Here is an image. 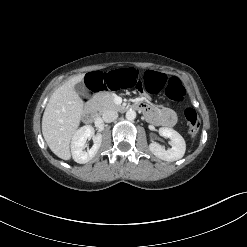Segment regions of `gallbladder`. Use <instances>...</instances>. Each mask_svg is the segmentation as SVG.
Segmentation results:
<instances>
[{"label": "gallbladder", "mask_w": 247, "mask_h": 247, "mask_svg": "<svg viewBox=\"0 0 247 247\" xmlns=\"http://www.w3.org/2000/svg\"><path fill=\"white\" fill-rule=\"evenodd\" d=\"M75 90L79 95L83 97H87L89 95V90L85 86L84 82H79L78 84H76Z\"/></svg>", "instance_id": "1"}]
</instances>
